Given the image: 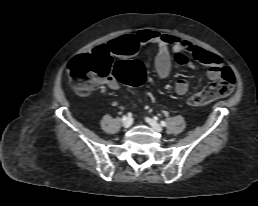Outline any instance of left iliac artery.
<instances>
[{
	"instance_id": "obj_1",
	"label": "left iliac artery",
	"mask_w": 258,
	"mask_h": 206,
	"mask_svg": "<svg viewBox=\"0 0 258 206\" xmlns=\"http://www.w3.org/2000/svg\"><path fill=\"white\" fill-rule=\"evenodd\" d=\"M161 125L165 127L167 124L165 121H161Z\"/></svg>"
}]
</instances>
